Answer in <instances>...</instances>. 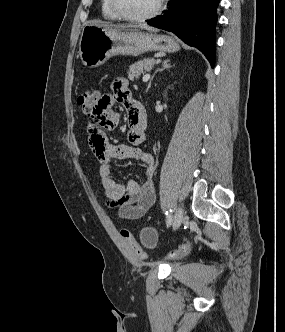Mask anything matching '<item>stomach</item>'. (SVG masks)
Listing matches in <instances>:
<instances>
[{"instance_id":"1","label":"stomach","mask_w":285,"mask_h":332,"mask_svg":"<svg viewBox=\"0 0 285 332\" xmlns=\"http://www.w3.org/2000/svg\"><path fill=\"white\" fill-rule=\"evenodd\" d=\"M178 42L168 36L138 31L115 32L97 24L83 28L78 54L88 68L103 65L115 55L138 56L148 51L175 52Z\"/></svg>"}]
</instances>
